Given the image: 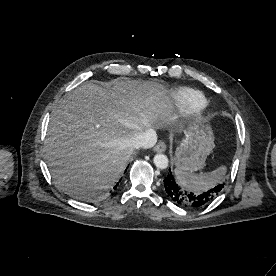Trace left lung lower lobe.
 Segmentation results:
<instances>
[{
  "mask_svg": "<svg viewBox=\"0 0 276 276\" xmlns=\"http://www.w3.org/2000/svg\"><path fill=\"white\" fill-rule=\"evenodd\" d=\"M166 194L175 202L191 208H198L209 204L220 193L223 184L205 191V192H190L181 186L174 178L169 169V173L164 178L163 183Z\"/></svg>",
  "mask_w": 276,
  "mask_h": 276,
  "instance_id": "obj_1",
  "label": "left lung lower lobe"
}]
</instances>
